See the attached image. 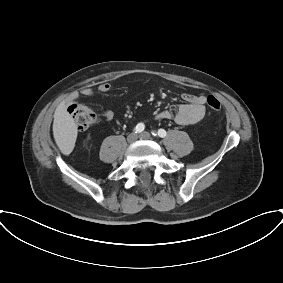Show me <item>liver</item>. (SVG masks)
I'll use <instances>...</instances> for the list:
<instances>
[{
    "instance_id": "liver-1",
    "label": "liver",
    "mask_w": 283,
    "mask_h": 283,
    "mask_svg": "<svg viewBox=\"0 0 283 283\" xmlns=\"http://www.w3.org/2000/svg\"><path fill=\"white\" fill-rule=\"evenodd\" d=\"M53 135L61 152L69 155L75 146L77 126L64 103H60L54 112Z\"/></svg>"
}]
</instances>
